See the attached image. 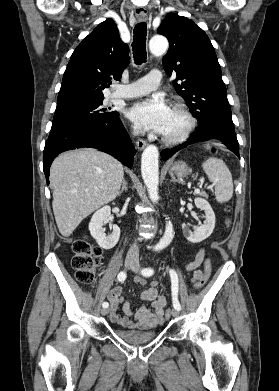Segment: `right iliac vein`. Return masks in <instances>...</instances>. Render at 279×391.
I'll list each match as a JSON object with an SVG mask.
<instances>
[{"label":"right iliac vein","instance_id":"right-iliac-vein-1","mask_svg":"<svg viewBox=\"0 0 279 391\" xmlns=\"http://www.w3.org/2000/svg\"><path fill=\"white\" fill-rule=\"evenodd\" d=\"M135 258L133 256H130L128 255L126 258H125V262H124V265L126 268H131L134 264H135ZM110 309L109 308H103L101 310V314L102 315H107L109 313Z\"/></svg>","mask_w":279,"mask_h":391}]
</instances>
